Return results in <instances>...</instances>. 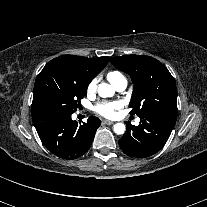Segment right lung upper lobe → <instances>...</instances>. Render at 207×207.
<instances>
[{"mask_svg": "<svg viewBox=\"0 0 207 207\" xmlns=\"http://www.w3.org/2000/svg\"><path fill=\"white\" fill-rule=\"evenodd\" d=\"M108 59L109 57L107 56L85 58L81 56L62 55L51 60V62L59 63L70 68L82 81L89 84L91 80L107 65Z\"/></svg>", "mask_w": 207, "mask_h": 207, "instance_id": "1", "label": "right lung upper lobe"}]
</instances>
